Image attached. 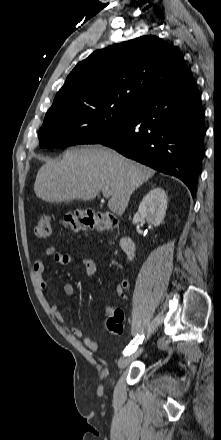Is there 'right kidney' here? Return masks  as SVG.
Instances as JSON below:
<instances>
[{
  "mask_svg": "<svg viewBox=\"0 0 221 440\" xmlns=\"http://www.w3.org/2000/svg\"><path fill=\"white\" fill-rule=\"evenodd\" d=\"M167 209V195L164 189L157 187L150 190L139 205L138 212L134 215L133 224L141 218H146L154 226H159L165 217Z\"/></svg>",
  "mask_w": 221,
  "mask_h": 440,
  "instance_id": "ca27d5eb",
  "label": "right kidney"
}]
</instances>
